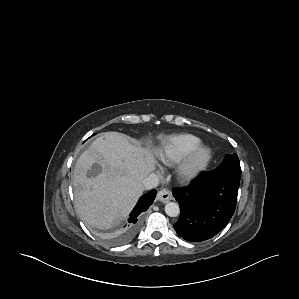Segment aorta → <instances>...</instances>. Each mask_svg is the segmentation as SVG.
<instances>
[{"label":"aorta","mask_w":299,"mask_h":299,"mask_svg":"<svg viewBox=\"0 0 299 299\" xmlns=\"http://www.w3.org/2000/svg\"><path fill=\"white\" fill-rule=\"evenodd\" d=\"M165 212L170 217H177L180 214V207L177 203L168 202L165 205Z\"/></svg>","instance_id":"obj_1"}]
</instances>
